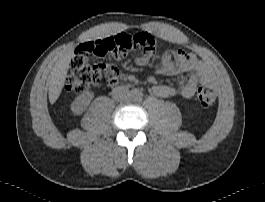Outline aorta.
Returning a JSON list of instances; mask_svg holds the SVG:
<instances>
[{"label":"aorta","mask_w":265,"mask_h":202,"mask_svg":"<svg viewBox=\"0 0 265 202\" xmlns=\"http://www.w3.org/2000/svg\"><path fill=\"white\" fill-rule=\"evenodd\" d=\"M141 92L139 90H132L131 91V98L133 100H139L141 98Z\"/></svg>","instance_id":"aorta-1"}]
</instances>
